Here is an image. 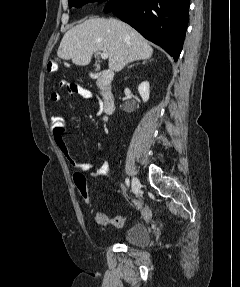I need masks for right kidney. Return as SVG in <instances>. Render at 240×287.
<instances>
[{"mask_svg": "<svg viewBox=\"0 0 240 287\" xmlns=\"http://www.w3.org/2000/svg\"><path fill=\"white\" fill-rule=\"evenodd\" d=\"M139 94L141 95L144 102H147L149 100V94H150V85L148 81H144L139 84L138 86Z\"/></svg>", "mask_w": 240, "mask_h": 287, "instance_id": "ca27d5eb", "label": "right kidney"}]
</instances>
